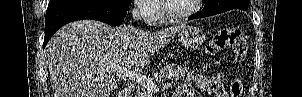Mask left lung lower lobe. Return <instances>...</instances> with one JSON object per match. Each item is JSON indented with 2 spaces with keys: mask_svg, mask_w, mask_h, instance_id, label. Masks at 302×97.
I'll list each match as a JSON object with an SVG mask.
<instances>
[{
  "mask_svg": "<svg viewBox=\"0 0 302 97\" xmlns=\"http://www.w3.org/2000/svg\"><path fill=\"white\" fill-rule=\"evenodd\" d=\"M241 10H246L247 8H240ZM217 13H221L217 10H214V9H203L202 11L192 15L191 17H189L188 19L191 20V19H197V18H203V17H207V16H211V15H214V14H217Z\"/></svg>",
  "mask_w": 302,
  "mask_h": 97,
  "instance_id": "0a47b994",
  "label": "left lung lower lobe"
}]
</instances>
